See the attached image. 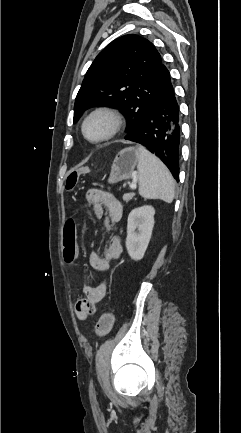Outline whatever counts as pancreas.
Returning <instances> with one entry per match:
<instances>
[{
    "label": "pancreas",
    "mask_w": 241,
    "mask_h": 433,
    "mask_svg": "<svg viewBox=\"0 0 241 433\" xmlns=\"http://www.w3.org/2000/svg\"><path fill=\"white\" fill-rule=\"evenodd\" d=\"M134 197V193H126L123 195V200L128 203Z\"/></svg>",
    "instance_id": "obj_1"
}]
</instances>
